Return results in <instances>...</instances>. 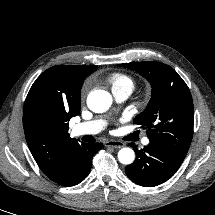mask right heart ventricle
Here are the masks:
<instances>
[{
	"instance_id": "obj_1",
	"label": "right heart ventricle",
	"mask_w": 215,
	"mask_h": 215,
	"mask_svg": "<svg viewBox=\"0 0 215 215\" xmlns=\"http://www.w3.org/2000/svg\"><path fill=\"white\" fill-rule=\"evenodd\" d=\"M106 81L111 86L112 91L127 89L132 92L135 87L134 79L125 73H112L107 77Z\"/></svg>"
}]
</instances>
